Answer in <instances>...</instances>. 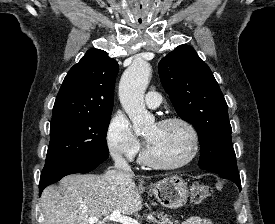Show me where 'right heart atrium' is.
Wrapping results in <instances>:
<instances>
[{
	"label": "right heart atrium",
	"instance_id": "obj_1",
	"mask_svg": "<svg viewBox=\"0 0 275 224\" xmlns=\"http://www.w3.org/2000/svg\"><path fill=\"white\" fill-rule=\"evenodd\" d=\"M106 143L110 154L116 158L132 160L140 152V144L129 121L120 113L115 114L109 123Z\"/></svg>",
	"mask_w": 275,
	"mask_h": 224
}]
</instances>
